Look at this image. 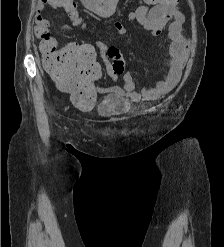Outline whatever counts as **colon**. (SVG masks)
Returning <instances> with one entry per match:
<instances>
[{
  "label": "colon",
  "mask_w": 224,
  "mask_h": 247,
  "mask_svg": "<svg viewBox=\"0 0 224 247\" xmlns=\"http://www.w3.org/2000/svg\"><path fill=\"white\" fill-rule=\"evenodd\" d=\"M152 6L169 7L178 0H142ZM60 8L64 10L77 26L81 21L76 13L74 0H61ZM42 38L48 46V54L44 60V66L53 80L63 89L71 92L73 103L80 108L93 107L96 95L91 87V82L98 79L101 70L95 62V52L91 46H70L60 52H54L55 40L49 33H44ZM106 56L110 60L111 70L115 74L124 71V60L117 48L110 47L106 50Z\"/></svg>",
  "instance_id": "obj_1"
}]
</instances>
